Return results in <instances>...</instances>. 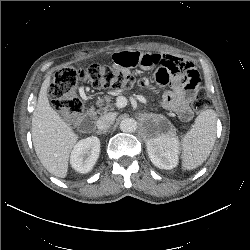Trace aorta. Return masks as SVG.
Masks as SVG:
<instances>
[{
	"mask_svg": "<svg viewBox=\"0 0 250 250\" xmlns=\"http://www.w3.org/2000/svg\"><path fill=\"white\" fill-rule=\"evenodd\" d=\"M120 129L126 133L135 132L137 129V122L132 118H125L120 123Z\"/></svg>",
	"mask_w": 250,
	"mask_h": 250,
	"instance_id": "1",
	"label": "aorta"
}]
</instances>
